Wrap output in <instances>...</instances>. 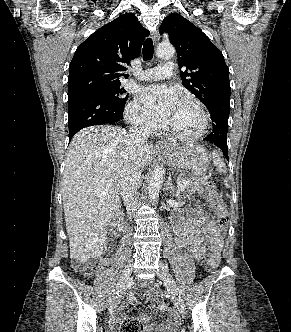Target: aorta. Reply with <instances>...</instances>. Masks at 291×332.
<instances>
[{
  "mask_svg": "<svg viewBox=\"0 0 291 332\" xmlns=\"http://www.w3.org/2000/svg\"><path fill=\"white\" fill-rule=\"evenodd\" d=\"M175 54V48L171 44H160L156 49V56L161 59H170ZM164 169L162 166H156L148 185V196L150 202H155L159 196L163 184Z\"/></svg>",
  "mask_w": 291,
  "mask_h": 332,
  "instance_id": "762f6f07",
  "label": "aorta"
}]
</instances>
